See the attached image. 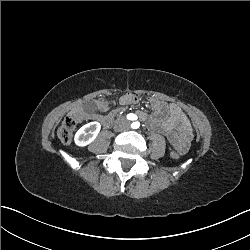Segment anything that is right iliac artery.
<instances>
[{
  "instance_id": "82829eb1",
  "label": "right iliac artery",
  "mask_w": 250,
  "mask_h": 250,
  "mask_svg": "<svg viewBox=\"0 0 250 250\" xmlns=\"http://www.w3.org/2000/svg\"><path fill=\"white\" fill-rule=\"evenodd\" d=\"M137 118V116L135 115V114H133V113H130L129 115H128V119L129 120H135Z\"/></svg>"
}]
</instances>
